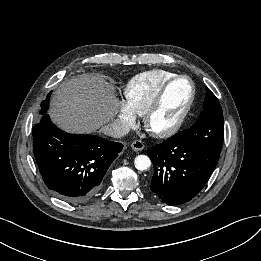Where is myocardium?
<instances>
[{"label":"myocardium","mask_w":261,"mask_h":261,"mask_svg":"<svg viewBox=\"0 0 261 261\" xmlns=\"http://www.w3.org/2000/svg\"><path fill=\"white\" fill-rule=\"evenodd\" d=\"M181 79H187L190 82L191 85V95L189 98V101L183 110L182 114L180 115L179 119L169 128L163 129V130H155L151 127V120L153 116L158 112L160 109L163 100L168 92V90L171 88V86L177 82L178 80ZM195 95H196V89H195V84L192 80V78L188 75H176L170 80H168L158 91L156 94L155 98L151 102L150 106L146 110V112L143 114V125L146 131L151 134L152 136L156 138H167L175 133H177L183 124L185 123L195 100Z\"/></svg>","instance_id":"myocardium-1"}]
</instances>
